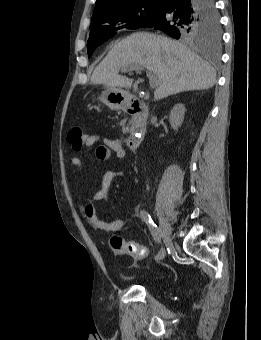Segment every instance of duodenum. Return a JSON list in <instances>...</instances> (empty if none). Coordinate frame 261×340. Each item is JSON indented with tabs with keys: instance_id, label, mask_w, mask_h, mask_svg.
<instances>
[{
	"instance_id": "1",
	"label": "duodenum",
	"mask_w": 261,
	"mask_h": 340,
	"mask_svg": "<svg viewBox=\"0 0 261 340\" xmlns=\"http://www.w3.org/2000/svg\"><path fill=\"white\" fill-rule=\"evenodd\" d=\"M126 112L132 116L130 125V133L126 138V144L130 149L136 150L145 135L148 109L143 100L134 98L128 101L126 105Z\"/></svg>"
}]
</instances>
